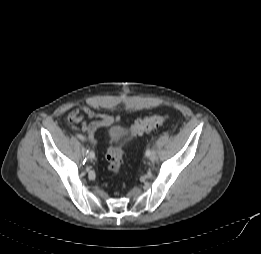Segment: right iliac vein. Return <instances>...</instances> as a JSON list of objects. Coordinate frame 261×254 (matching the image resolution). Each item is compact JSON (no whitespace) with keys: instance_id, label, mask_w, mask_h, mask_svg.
<instances>
[{"instance_id":"63e3f726","label":"right iliac vein","mask_w":261,"mask_h":254,"mask_svg":"<svg viewBox=\"0 0 261 254\" xmlns=\"http://www.w3.org/2000/svg\"><path fill=\"white\" fill-rule=\"evenodd\" d=\"M82 153H83V155H86V149L85 148L82 149Z\"/></svg>"}]
</instances>
